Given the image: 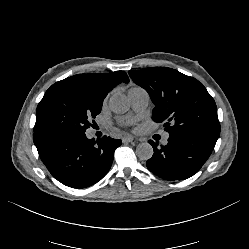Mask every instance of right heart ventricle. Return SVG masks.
<instances>
[{
    "label": "right heart ventricle",
    "mask_w": 249,
    "mask_h": 249,
    "mask_svg": "<svg viewBox=\"0 0 249 249\" xmlns=\"http://www.w3.org/2000/svg\"><path fill=\"white\" fill-rule=\"evenodd\" d=\"M140 89L138 86H133L130 90Z\"/></svg>",
    "instance_id": "e07e8e85"
}]
</instances>
